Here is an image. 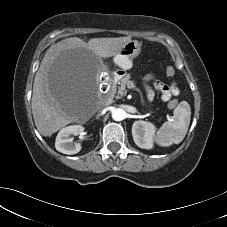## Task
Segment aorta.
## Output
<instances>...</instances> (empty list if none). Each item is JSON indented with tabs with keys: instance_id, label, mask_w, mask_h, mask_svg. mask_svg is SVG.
Returning <instances> with one entry per match:
<instances>
[{
	"instance_id": "762f6f07",
	"label": "aorta",
	"mask_w": 227,
	"mask_h": 227,
	"mask_svg": "<svg viewBox=\"0 0 227 227\" xmlns=\"http://www.w3.org/2000/svg\"><path fill=\"white\" fill-rule=\"evenodd\" d=\"M125 111L121 108H116L112 111V118L115 121H121L125 118Z\"/></svg>"
}]
</instances>
